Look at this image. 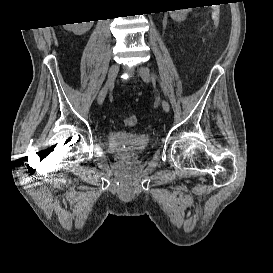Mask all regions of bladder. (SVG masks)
<instances>
[{"label":"bladder","instance_id":"31cf9c89","mask_svg":"<svg viewBox=\"0 0 273 273\" xmlns=\"http://www.w3.org/2000/svg\"><path fill=\"white\" fill-rule=\"evenodd\" d=\"M107 145L114 155L132 161L147 150L149 138L142 134L113 129L107 133Z\"/></svg>","mask_w":273,"mask_h":273}]
</instances>
